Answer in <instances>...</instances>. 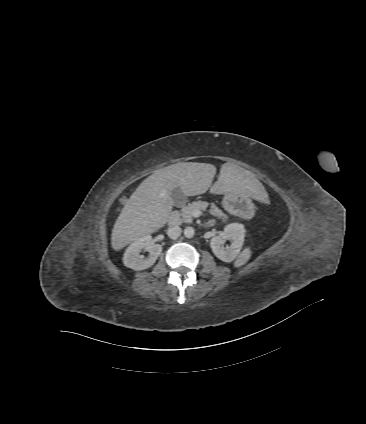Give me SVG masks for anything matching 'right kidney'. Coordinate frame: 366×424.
<instances>
[{"label": "right kidney", "instance_id": "obj_1", "mask_svg": "<svg viewBox=\"0 0 366 424\" xmlns=\"http://www.w3.org/2000/svg\"><path fill=\"white\" fill-rule=\"evenodd\" d=\"M143 249L149 252L148 257L146 258L140 254ZM161 252L162 246L159 244H153L151 236L145 235L136 239L126 249L123 256V263L126 267L133 270H144L154 265Z\"/></svg>", "mask_w": 366, "mask_h": 424}]
</instances>
